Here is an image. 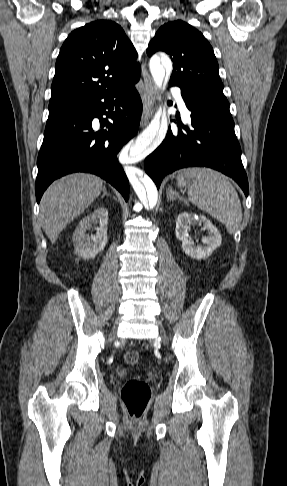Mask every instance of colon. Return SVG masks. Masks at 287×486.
Instances as JSON below:
<instances>
[{"instance_id":"obj_1","label":"colon","mask_w":287,"mask_h":486,"mask_svg":"<svg viewBox=\"0 0 287 486\" xmlns=\"http://www.w3.org/2000/svg\"><path fill=\"white\" fill-rule=\"evenodd\" d=\"M139 358V353L135 350H130L124 355V360L129 365L137 364ZM150 396V387L144 380L131 378L125 382L121 391V398L131 419L138 420L141 418Z\"/></svg>"}]
</instances>
